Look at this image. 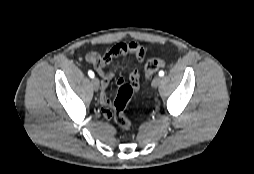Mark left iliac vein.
Returning <instances> with one entry per match:
<instances>
[{"instance_id":"left-iliac-vein-1","label":"left iliac vein","mask_w":254,"mask_h":174,"mask_svg":"<svg viewBox=\"0 0 254 174\" xmlns=\"http://www.w3.org/2000/svg\"><path fill=\"white\" fill-rule=\"evenodd\" d=\"M161 77L160 76H155L153 81H152V85L154 87H158L161 84Z\"/></svg>"}]
</instances>
